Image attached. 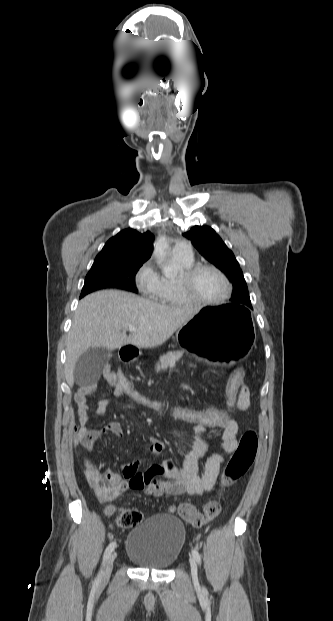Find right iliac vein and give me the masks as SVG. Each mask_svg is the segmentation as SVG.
<instances>
[{
  "label": "right iliac vein",
  "instance_id": "obj_1",
  "mask_svg": "<svg viewBox=\"0 0 333 621\" xmlns=\"http://www.w3.org/2000/svg\"><path fill=\"white\" fill-rule=\"evenodd\" d=\"M115 557H116V553H113L108 558L107 563H106V567H105V570H104V573H103V578L104 579H108L110 577L112 569H113V563H114Z\"/></svg>",
  "mask_w": 333,
  "mask_h": 621
}]
</instances>
